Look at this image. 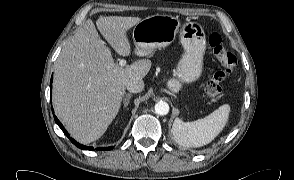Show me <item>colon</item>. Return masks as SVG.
<instances>
[{"mask_svg": "<svg viewBox=\"0 0 294 180\" xmlns=\"http://www.w3.org/2000/svg\"><path fill=\"white\" fill-rule=\"evenodd\" d=\"M208 43L216 60L220 63V68L214 71L205 84V93L210 99L219 96L222 88L221 82L233 72L237 60L222 44L221 37L215 32H210Z\"/></svg>", "mask_w": 294, "mask_h": 180, "instance_id": "colon-1", "label": "colon"}]
</instances>
